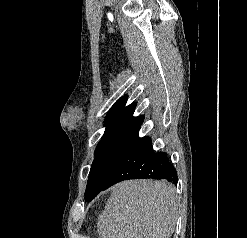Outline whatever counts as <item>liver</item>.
I'll use <instances>...</instances> for the list:
<instances>
[{
  "mask_svg": "<svg viewBox=\"0 0 247 238\" xmlns=\"http://www.w3.org/2000/svg\"><path fill=\"white\" fill-rule=\"evenodd\" d=\"M98 217V238H170L178 217L175 188L166 181L129 180L111 188Z\"/></svg>",
  "mask_w": 247,
  "mask_h": 238,
  "instance_id": "liver-1",
  "label": "liver"
}]
</instances>
